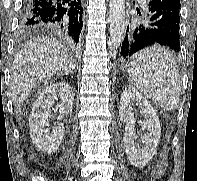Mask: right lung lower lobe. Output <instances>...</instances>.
Listing matches in <instances>:
<instances>
[{
    "label": "right lung lower lobe",
    "instance_id": "1",
    "mask_svg": "<svg viewBox=\"0 0 197 181\" xmlns=\"http://www.w3.org/2000/svg\"><path fill=\"white\" fill-rule=\"evenodd\" d=\"M20 24L58 32L77 45L83 27V0H23Z\"/></svg>",
    "mask_w": 197,
    "mask_h": 181
}]
</instances>
